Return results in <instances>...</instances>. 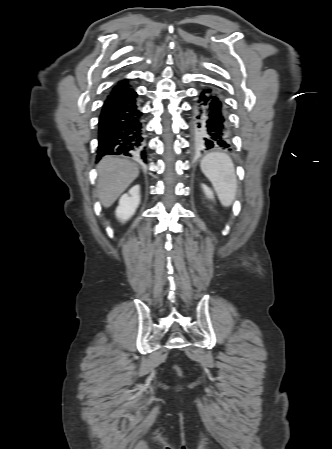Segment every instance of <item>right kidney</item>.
I'll list each match as a JSON object with an SVG mask.
<instances>
[{"label":"right kidney","mask_w":332,"mask_h":449,"mask_svg":"<svg viewBox=\"0 0 332 449\" xmlns=\"http://www.w3.org/2000/svg\"><path fill=\"white\" fill-rule=\"evenodd\" d=\"M140 204V186L132 187L128 194L121 196L119 206L116 209V217L125 222L131 218Z\"/></svg>","instance_id":"ca27d5eb"}]
</instances>
